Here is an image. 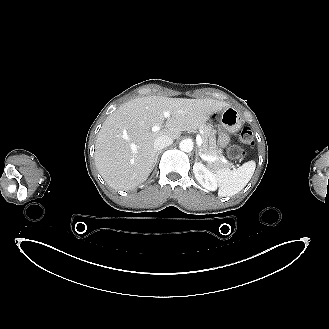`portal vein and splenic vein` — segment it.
I'll return each mask as SVG.
<instances>
[{
	"mask_svg": "<svg viewBox=\"0 0 329 329\" xmlns=\"http://www.w3.org/2000/svg\"><path fill=\"white\" fill-rule=\"evenodd\" d=\"M163 115H164L165 118L170 117V113L168 111H165L163 113ZM159 130H160V126L159 125H154L152 127V132H157ZM196 142H197L198 147H201V145L203 143V140H202V137L200 135H198L196 137ZM202 158H203V160L210 161V162H213V161H215L217 159V157H212V156H207V155H202Z\"/></svg>",
	"mask_w": 329,
	"mask_h": 329,
	"instance_id": "18ae733b",
	"label": "portal vein and splenic vein"
}]
</instances>
